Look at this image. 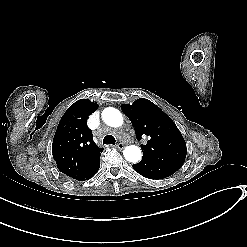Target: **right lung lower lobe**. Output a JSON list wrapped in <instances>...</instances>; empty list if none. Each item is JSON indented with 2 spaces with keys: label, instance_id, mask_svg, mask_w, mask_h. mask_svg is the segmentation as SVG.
<instances>
[{
  "label": "right lung lower lobe",
  "instance_id": "1",
  "mask_svg": "<svg viewBox=\"0 0 247 247\" xmlns=\"http://www.w3.org/2000/svg\"><path fill=\"white\" fill-rule=\"evenodd\" d=\"M100 167V158L95 162V164L87 171L85 172L82 176L76 178L78 181H85L93 177L97 171L99 170Z\"/></svg>",
  "mask_w": 247,
  "mask_h": 247
}]
</instances>
